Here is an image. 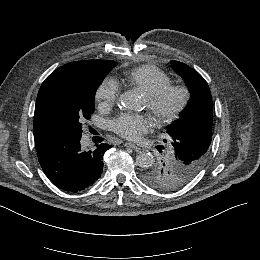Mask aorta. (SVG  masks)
Wrapping results in <instances>:
<instances>
[{"label":"aorta","mask_w":260,"mask_h":260,"mask_svg":"<svg viewBox=\"0 0 260 260\" xmlns=\"http://www.w3.org/2000/svg\"><path fill=\"white\" fill-rule=\"evenodd\" d=\"M119 107L122 110H138V100L130 93L122 94L119 98ZM136 163L141 168H148L154 163V157L150 152H141L136 156Z\"/></svg>","instance_id":"obj_1"}]
</instances>
